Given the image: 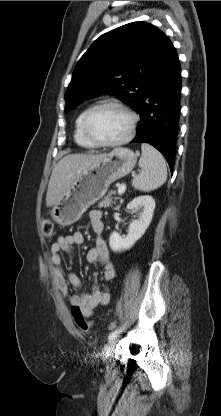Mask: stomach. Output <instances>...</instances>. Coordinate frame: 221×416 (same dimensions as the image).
I'll return each instance as SVG.
<instances>
[{
	"label": "stomach",
	"instance_id": "stomach-1",
	"mask_svg": "<svg viewBox=\"0 0 221 416\" xmlns=\"http://www.w3.org/2000/svg\"><path fill=\"white\" fill-rule=\"evenodd\" d=\"M137 155L129 148L118 147L82 171L51 210L53 221L68 226L107 192L114 181L127 175L135 166Z\"/></svg>",
	"mask_w": 221,
	"mask_h": 416
}]
</instances>
